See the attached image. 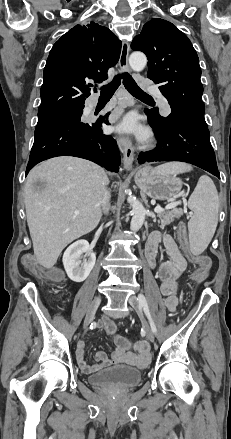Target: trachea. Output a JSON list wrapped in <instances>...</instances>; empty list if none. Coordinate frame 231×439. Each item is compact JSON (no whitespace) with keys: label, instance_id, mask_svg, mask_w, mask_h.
Masks as SVG:
<instances>
[{"label":"trachea","instance_id":"3493384b","mask_svg":"<svg viewBox=\"0 0 231 439\" xmlns=\"http://www.w3.org/2000/svg\"><path fill=\"white\" fill-rule=\"evenodd\" d=\"M121 79H123V84L128 90V92L134 97L140 100L152 99L150 95L145 93L134 81L132 76L127 72L116 75L113 80L107 84L102 86L101 89V97H112L117 88L121 83Z\"/></svg>","mask_w":231,"mask_h":439}]
</instances>
